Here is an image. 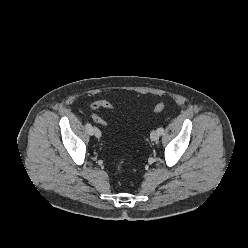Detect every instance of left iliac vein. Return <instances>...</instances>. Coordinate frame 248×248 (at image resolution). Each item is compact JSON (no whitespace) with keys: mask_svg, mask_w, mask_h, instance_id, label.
Here are the masks:
<instances>
[{"mask_svg":"<svg viewBox=\"0 0 248 248\" xmlns=\"http://www.w3.org/2000/svg\"><path fill=\"white\" fill-rule=\"evenodd\" d=\"M159 133L157 132V130H153L150 134V138L152 141L156 142L159 140Z\"/></svg>","mask_w":248,"mask_h":248,"instance_id":"4c4485c4","label":"left iliac vein"}]
</instances>
